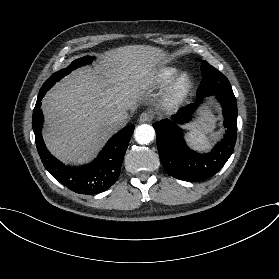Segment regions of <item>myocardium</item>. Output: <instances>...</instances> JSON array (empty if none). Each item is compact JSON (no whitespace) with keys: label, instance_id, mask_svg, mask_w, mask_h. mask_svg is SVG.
I'll return each mask as SVG.
<instances>
[{"label":"myocardium","instance_id":"obj_1","mask_svg":"<svg viewBox=\"0 0 279 279\" xmlns=\"http://www.w3.org/2000/svg\"><path fill=\"white\" fill-rule=\"evenodd\" d=\"M192 89V80L186 74H180L169 84L166 91V104L175 107L183 102Z\"/></svg>","mask_w":279,"mask_h":279}]
</instances>
